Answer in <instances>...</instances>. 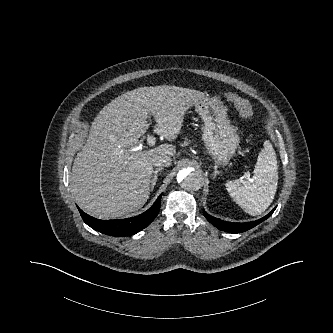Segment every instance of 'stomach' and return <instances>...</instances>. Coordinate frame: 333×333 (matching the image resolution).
<instances>
[{
  "mask_svg": "<svg viewBox=\"0 0 333 333\" xmlns=\"http://www.w3.org/2000/svg\"><path fill=\"white\" fill-rule=\"evenodd\" d=\"M204 122L202 139L217 164L227 165L235 154L240 138L227 115V108L217 97L204 96L195 104Z\"/></svg>",
  "mask_w": 333,
  "mask_h": 333,
  "instance_id": "0dacf381",
  "label": "stomach"
}]
</instances>
